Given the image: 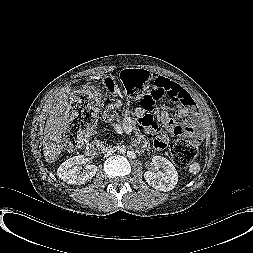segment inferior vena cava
Returning a JSON list of instances; mask_svg holds the SVG:
<instances>
[{
    "label": "inferior vena cava",
    "instance_id": "1",
    "mask_svg": "<svg viewBox=\"0 0 253 253\" xmlns=\"http://www.w3.org/2000/svg\"><path fill=\"white\" fill-rule=\"evenodd\" d=\"M108 154L110 155V156H113L114 154H115V151L113 150V149H109L108 150ZM107 154V155H108Z\"/></svg>",
    "mask_w": 253,
    "mask_h": 253
}]
</instances>
